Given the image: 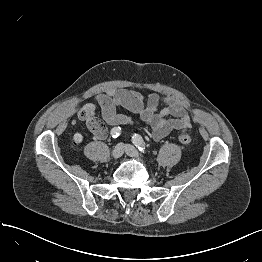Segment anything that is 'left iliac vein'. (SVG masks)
<instances>
[{
  "label": "left iliac vein",
  "instance_id": "obj_1",
  "mask_svg": "<svg viewBox=\"0 0 262 262\" xmlns=\"http://www.w3.org/2000/svg\"><path fill=\"white\" fill-rule=\"evenodd\" d=\"M125 153L133 158L138 159L139 161H142V159L139 157L138 151L132 146V145H125Z\"/></svg>",
  "mask_w": 262,
  "mask_h": 262
}]
</instances>
